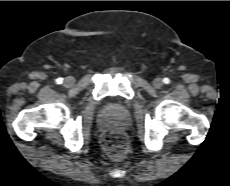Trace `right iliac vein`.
I'll list each match as a JSON object with an SVG mask.
<instances>
[{"label": "right iliac vein", "instance_id": "right-iliac-vein-1", "mask_svg": "<svg viewBox=\"0 0 230 186\" xmlns=\"http://www.w3.org/2000/svg\"><path fill=\"white\" fill-rule=\"evenodd\" d=\"M74 82H75L74 78L69 76V77L65 78L64 85L66 87H71L74 84Z\"/></svg>", "mask_w": 230, "mask_h": 186}]
</instances>
